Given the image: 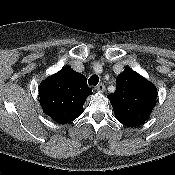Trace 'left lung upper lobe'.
Wrapping results in <instances>:
<instances>
[{"instance_id":"obj_1","label":"left lung upper lobe","mask_w":175,"mask_h":175,"mask_svg":"<svg viewBox=\"0 0 175 175\" xmlns=\"http://www.w3.org/2000/svg\"><path fill=\"white\" fill-rule=\"evenodd\" d=\"M158 92L147 79L125 68L116 79V91L108 95L116 119L136 127L145 122L156 104Z\"/></svg>"}]
</instances>
